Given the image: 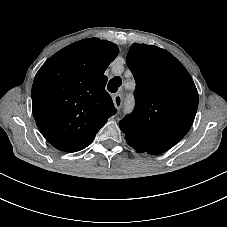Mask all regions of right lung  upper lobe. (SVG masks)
Wrapping results in <instances>:
<instances>
[{"instance_id":"1","label":"right lung upper lobe","mask_w":227,"mask_h":227,"mask_svg":"<svg viewBox=\"0 0 227 227\" xmlns=\"http://www.w3.org/2000/svg\"><path fill=\"white\" fill-rule=\"evenodd\" d=\"M118 53L112 42L84 39L54 54L37 72L32 86L33 115L55 148L84 149L116 113L105 90L104 72Z\"/></svg>"}]
</instances>
